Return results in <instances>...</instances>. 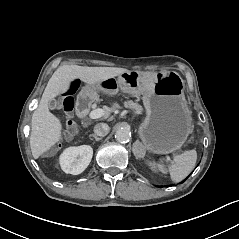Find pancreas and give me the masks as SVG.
Returning a JSON list of instances; mask_svg holds the SVG:
<instances>
[{
	"label": "pancreas",
	"instance_id": "obj_1",
	"mask_svg": "<svg viewBox=\"0 0 239 239\" xmlns=\"http://www.w3.org/2000/svg\"><path fill=\"white\" fill-rule=\"evenodd\" d=\"M116 107H117V105L115 104V105H114V108H116ZM124 107H125V108H128V109H131V110H133V111H136L138 114H141L142 111H143L142 106H141L140 104H138V103H135V102L132 101V100L125 101V102H124ZM139 144H140V143H139Z\"/></svg>",
	"mask_w": 239,
	"mask_h": 239
}]
</instances>
